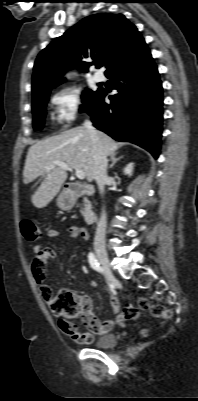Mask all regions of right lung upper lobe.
Segmentation results:
<instances>
[{
    "instance_id": "right-lung-upper-lobe-1",
    "label": "right lung upper lobe",
    "mask_w": 198,
    "mask_h": 401,
    "mask_svg": "<svg viewBox=\"0 0 198 401\" xmlns=\"http://www.w3.org/2000/svg\"><path fill=\"white\" fill-rule=\"evenodd\" d=\"M145 45L137 28L122 14H95L84 18L54 39L35 62L32 98L62 83V75L74 65L82 72L100 61L107 70Z\"/></svg>"
}]
</instances>
